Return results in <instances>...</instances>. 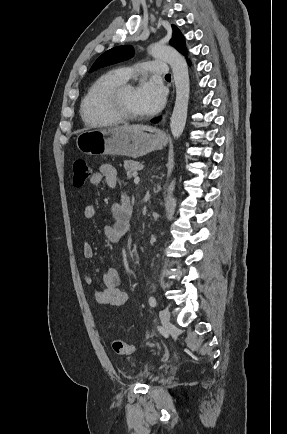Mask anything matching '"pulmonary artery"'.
I'll list each match as a JSON object with an SVG mask.
<instances>
[{"label": "pulmonary artery", "instance_id": "pulmonary-artery-1", "mask_svg": "<svg viewBox=\"0 0 287 434\" xmlns=\"http://www.w3.org/2000/svg\"><path fill=\"white\" fill-rule=\"evenodd\" d=\"M120 73L124 79H129L132 76L152 74V75H166L167 64L156 61H147L142 63L141 66L136 68H122Z\"/></svg>", "mask_w": 287, "mask_h": 434}]
</instances>
